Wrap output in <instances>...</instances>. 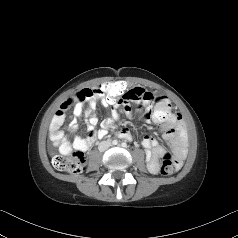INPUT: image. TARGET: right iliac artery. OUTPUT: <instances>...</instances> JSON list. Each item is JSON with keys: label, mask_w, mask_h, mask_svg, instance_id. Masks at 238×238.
I'll return each mask as SVG.
<instances>
[{"label": "right iliac artery", "mask_w": 238, "mask_h": 238, "mask_svg": "<svg viewBox=\"0 0 238 238\" xmlns=\"http://www.w3.org/2000/svg\"><path fill=\"white\" fill-rule=\"evenodd\" d=\"M112 144H113V145H117V144H118V141H117V140H113V141H112Z\"/></svg>", "instance_id": "obj_1"}]
</instances>
